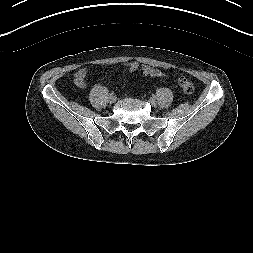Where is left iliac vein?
Here are the masks:
<instances>
[{
	"label": "left iliac vein",
	"instance_id": "4c4485c4",
	"mask_svg": "<svg viewBox=\"0 0 253 253\" xmlns=\"http://www.w3.org/2000/svg\"><path fill=\"white\" fill-rule=\"evenodd\" d=\"M150 103H151V105H152L153 107H156V106H157L156 100H152V99L150 98Z\"/></svg>",
	"mask_w": 253,
	"mask_h": 253
}]
</instances>
